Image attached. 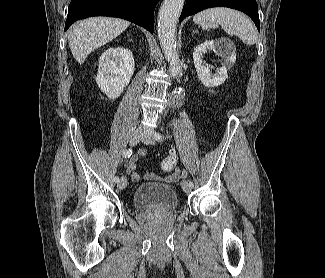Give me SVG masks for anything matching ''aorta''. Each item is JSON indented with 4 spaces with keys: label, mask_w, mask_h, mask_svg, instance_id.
<instances>
[{
    "label": "aorta",
    "mask_w": 325,
    "mask_h": 278,
    "mask_svg": "<svg viewBox=\"0 0 325 278\" xmlns=\"http://www.w3.org/2000/svg\"><path fill=\"white\" fill-rule=\"evenodd\" d=\"M184 2L185 0H164L158 13V37L161 48L170 62L169 70L172 76L182 75L177 49L176 26ZM179 91L180 89L175 91V96L179 95Z\"/></svg>",
    "instance_id": "1"
}]
</instances>
